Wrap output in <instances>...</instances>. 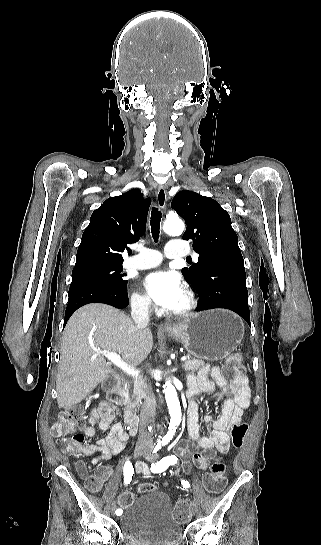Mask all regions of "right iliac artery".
I'll list each match as a JSON object with an SVG mask.
<instances>
[{"label": "right iliac artery", "mask_w": 321, "mask_h": 545, "mask_svg": "<svg viewBox=\"0 0 321 545\" xmlns=\"http://www.w3.org/2000/svg\"><path fill=\"white\" fill-rule=\"evenodd\" d=\"M134 473V468L130 461H127L124 465V483L129 484L131 482L132 475ZM117 515L121 514V510L117 509L115 512Z\"/></svg>", "instance_id": "obj_1"}]
</instances>
